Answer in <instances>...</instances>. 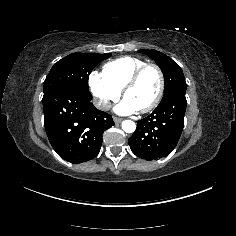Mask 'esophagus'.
I'll return each instance as SVG.
<instances>
[{
    "label": "esophagus",
    "mask_w": 236,
    "mask_h": 236,
    "mask_svg": "<svg viewBox=\"0 0 236 236\" xmlns=\"http://www.w3.org/2000/svg\"><path fill=\"white\" fill-rule=\"evenodd\" d=\"M113 120H114L115 123H120L122 121V118L113 117Z\"/></svg>",
    "instance_id": "esophagus-1"
}]
</instances>
